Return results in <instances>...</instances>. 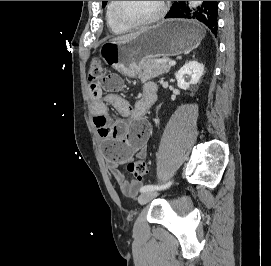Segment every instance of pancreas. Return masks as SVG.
Here are the masks:
<instances>
[{
	"instance_id": "obj_1",
	"label": "pancreas",
	"mask_w": 271,
	"mask_h": 266,
	"mask_svg": "<svg viewBox=\"0 0 271 266\" xmlns=\"http://www.w3.org/2000/svg\"><path fill=\"white\" fill-rule=\"evenodd\" d=\"M169 61L170 59L168 58L161 60L152 58L145 59L141 65L140 76L148 79L168 73L171 67L168 64Z\"/></svg>"
}]
</instances>
